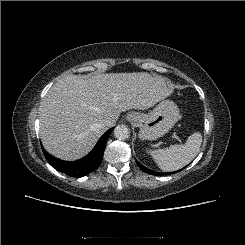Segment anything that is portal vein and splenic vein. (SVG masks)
I'll use <instances>...</instances> for the list:
<instances>
[{
    "mask_svg": "<svg viewBox=\"0 0 245 245\" xmlns=\"http://www.w3.org/2000/svg\"><path fill=\"white\" fill-rule=\"evenodd\" d=\"M173 137H174L176 140L180 141V138H179L178 136L173 135Z\"/></svg>",
    "mask_w": 245,
    "mask_h": 245,
    "instance_id": "18ae733b",
    "label": "portal vein and splenic vein"
}]
</instances>
